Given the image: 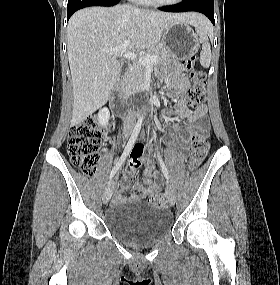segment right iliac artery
I'll list each match as a JSON object with an SVG mask.
<instances>
[{
    "mask_svg": "<svg viewBox=\"0 0 280 285\" xmlns=\"http://www.w3.org/2000/svg\"><path fill=\"white\" fill-rule=\"evenodd\" d=\"M141 126H142V118H140L138 120V122L136 123L135 127H134V130L132 132V135L121 155V157L119 158V160L117 161L116 165L114 166V168L112 169L111 173H110V176H109V179L111 180L114 175L117 173V171L119 170V168L122 166V164L124 163L126 157L128 156L129 152L131 151L138 135H139V132L141 130Z\"/></svg>",
    "mask_w": 280,
    "mask_h": 285,
    "instance_id": "obj_1",
    "label": "right iliac artery"
}]
</instances>
